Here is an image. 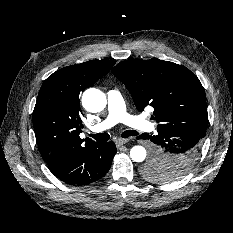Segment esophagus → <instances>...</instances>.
<instances>
[{
    "label": "esophagus",
    "instance_id": "obj_1",
    "mask_svg": "<svg viewBox=\"0 0 233 233\" xmlns=\"http://www.w3.org/2000/svg\"><path fill=\"white\" fill-rule=\"evenodd\" d=\"M128 141L129 139L118 138L115 143L117 147H121L122 145L126 144Z\"/></svg>",
    "mask_w": 233,
    "mask_h": 233
}]
</instances>
